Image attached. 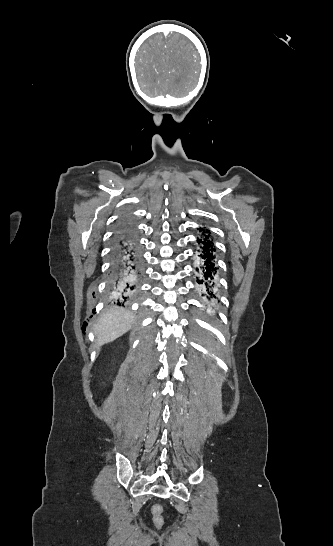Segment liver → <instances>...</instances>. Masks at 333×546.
<instances>
[{
	"label": "liver",
	"mask_w": 333,
	"mask_h": 546,
	"mask_svg": "<svg viewBox=\"0 0 333 546\" xmlns=\"http://www.w3.org/2000/svg\"><path fill=\"white\" fill-rule=\"evenodd\" d=\"M135 315L122 307L105 310L94 326L97 346L112 342L132 328Z\"/></svg>",
	"instance_id": "6515ba94"
}]
</instances>
